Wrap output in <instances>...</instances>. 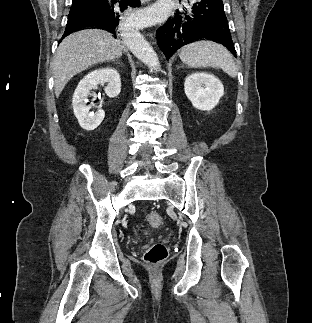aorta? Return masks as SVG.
<instances>
[{
  "mask_svg": "<svg viewBox=\"0 0 312 323\" xmlns=\"http://www.w3.org/2000/svg\"><path fill=\"white\" fill-rule=\"evenodd\" d=\"M124 40L126 46L138 60H141L143 64L150 66L152 70H159V58L151 48L149 42H146L144 36L138 32V30H129L124 32Z\"/></svg>",
  "mask_w": 312,
  "mask_h": 323,
  "instance_id": "762f6f07",
  "label": "aorta"
}]
</instances>
